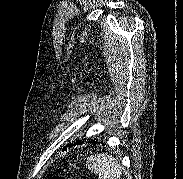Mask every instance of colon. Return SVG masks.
<instances>
[{
	"mask_svg": "<svg viewBox=\"0 0 183 179\" xmlns=\"http://www.w3.org/2000/svg\"><path fill=\"white\" fill-rule=\"evenodd\" d=\"M55 179H65V178H64V177L58 176V177H56Z\"/></svg>",
	"mask_w": 183,
	"mask_h": 179,
	"instance_id": "obj_1",
	"label": "colon"
}]
</instances>
